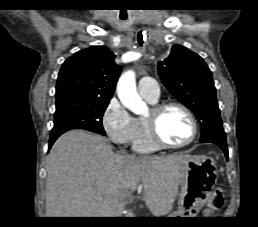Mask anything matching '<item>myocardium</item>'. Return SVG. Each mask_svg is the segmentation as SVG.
<instances>
[{
	"mask_svg": "<svg viewBox=\"0 0 258 227\" xmlns=\"http://www.w3.org/2000/svg\"><path fill=\"white\" fill-rule=\"evenodd\" d=\"M169 108L181 109L190 120V123L192 126V134L184 142L170 143L166 141L160 134V130H159L160 116L163 114L164 111H166ZM145 121L147 123L151 138L158 147H163V148L185 147L195 141L199 132L198 123L193 112L186 105L179 102H165V103H159V104L153 105L150 110V115L145 118Z\"/></svg>",
	"mask_w": 258,
	"mask_h": 227,
	"instance_id": "myocardium-1",
	"label": "myocardium"
}]
</instances>
